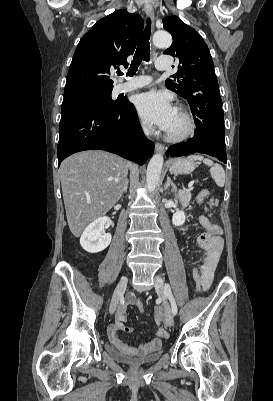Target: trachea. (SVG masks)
Returning <instances> with one entry per match:
<instances>
[{
  "instance_id": "obj_1",
  "label": "trachea",
  "mask_w": 273,
  "mask_h": 401,
  "mask_svg": "<svg viewBox=\"0 0 273 401\" xmlns=\"http://www.w3.org/2000/svg\"><path fill=\"white\" fill-rule=\"evenodd\" d=\"M147 25L139 39L138 46L136 48L135 55L133 57L132 63L128 70V76L132 77L135 75L136 70L140 63L143 61L148 62L150 60V18L147 19ZM118 75H123V73L119 72Z\"/></svg>"
}]
</instances>
